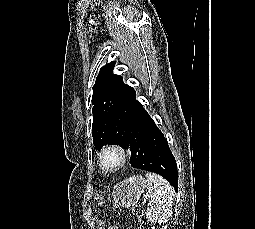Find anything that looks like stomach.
I'll list each match as a JSON object with an SVG mask.
<instances>
[{"instance_id":"stomach-1","label":"stomach","mask_w":255,"mask_h":229,"mask_svg":"<svg viewBox=\"0 0 255 229\" xmlns=\"http://www.w3.org/2000/svg\"><path fill=\"white\" fill-rule=\"evenodd\" d=\"M146 188V180L142 176H132L117 183L112 192L113 206L129 208L135 206Z\"/></svg>"}]
</instances>
